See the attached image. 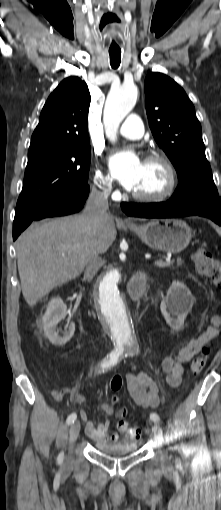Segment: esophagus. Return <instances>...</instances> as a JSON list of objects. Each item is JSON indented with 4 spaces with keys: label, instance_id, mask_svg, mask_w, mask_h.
<instances>
[{
    "label": "esophagus",
    "instance_id": "1",
    "mask_svg": "<svg viewBox=\"0 0 221 510\" xmlns=\"http://www.w3.org/2000/svg\"><path fill=\"white\" fill-rule=\"evenodd\" d=\"M123 221H124L125 223H131V220H130L129 218H127V217H124V218H123Z\"/></svg>",
    "mask_w": 221,
    "mask_h": 510
}]
</instances>
